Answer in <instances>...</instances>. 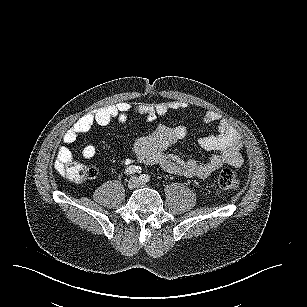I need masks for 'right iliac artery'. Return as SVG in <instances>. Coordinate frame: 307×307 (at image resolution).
<instances>
[{
  "label": "right iliac artery",
  "instance_id": "1",
  "mask_svg": "<svg viewBox=\"0 0 307 307\" xmlns=\"http://www.w3.org/2000/svg\"><path fill=\"white\" fill-rule=\"evenodd\" d=\"M135 173H141V168L138 166H130L127 169H125L124 174L129 176Z\"/></svg>",
  "mask_w": 307,
  "mask_h": 307
}]
</instances>
